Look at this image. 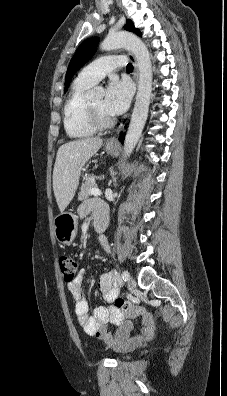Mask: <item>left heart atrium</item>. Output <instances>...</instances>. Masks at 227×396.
<instances>
[{"label":"left heart atrium","instance_id":"1","mask_svg":"<svg viewBox=\"0 0 227 396\" xmlns=\"http://www.w3.org/2000/svg\"><path fill=\"white\" fill-rule=\"evenodd\" d=\"M132 97V87L126 80L112 79L106 89L103 100L105 112L110 116L120 115L126 111Z\"/></svg>","mask_w":227,"mask_h":396}]
</instances>
